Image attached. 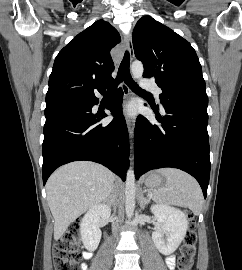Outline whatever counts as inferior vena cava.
<instances>
[{
	"label": "inferior vena cava",
	"mask_w": 242,
	"mask_h": 270,
	"mask_svg": "<svg viewBox=\"0 0 242 270\" xmlns=\"http://www.w3.org/2000/svg\"><path fill=\"white\" fill-rule=\"evenodd\" d=\"M115 198H116V192H115V189H113V190H112V194L110 195V203H111V204H112V203L114 204ZM112 227H113V231H116L117 224H116V223H113Z\"/></svg>",
	"instance_id": "inferior-vena-cava-1"
}]
</instances>
